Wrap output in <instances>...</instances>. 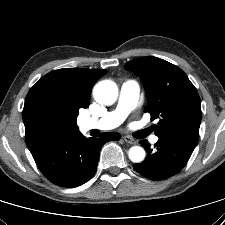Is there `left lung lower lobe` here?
Wrapping results in <instances>:
<instances>
[{"instance_id":"left-lung-lower-lobe-1","label":"left lung lower lobe","mask_w":225,"mask_h":225,"mask_svg":"<svg viewBox=\"0 0 225 225\" xmlns=\"http://www.w3.org/2000/svg\"><path fill=\"white\" fill-rule=\"evenodd\" d=\"M139 143L147 151V157L133 167L138 173L151 180H164L179 173L194 150L192 147L167 138H159L155 144V151L150 148L147 140H141Z\"/></svg>"}]
</instances>
